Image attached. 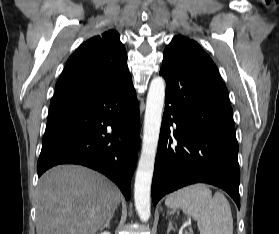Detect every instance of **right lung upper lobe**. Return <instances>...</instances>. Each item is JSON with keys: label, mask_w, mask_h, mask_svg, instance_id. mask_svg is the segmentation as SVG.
<instances>
[{"label": "right lung upper lobe", "mask_w": 279, "mask_h": 234, "mask_svg": "<svg viewBox=\"0 0 279 234\" xmlns=\"http://www.w3.org/2000/svg\"><path fill=\"white\" fill-rule=\"evenodd\" d=\"M129 74L119 34L109 30L82 43L56 83L51 105L99 91Z\"/></svg>", "instance_id": "cb5924a9"}]
</instances>
